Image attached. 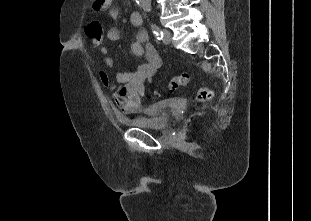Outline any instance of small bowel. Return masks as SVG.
Instances as JSON below:
<instances>
[{
    "mask_svg": "<svg viewBox=\"0 0 311 221\" xmlns=\"http://www.w3.org/2000/svg\"><path fill=\"white\" fill-rule=\"evenodd\" d=\"M109 14L111 18L116 19L120 15V9L117 6H112L109 8ZM131 23L135 26L141 25L142 15L139 12H133L131 14ZM119 37L120 32L116 27L109 29L107 33L108 40L117 41ZM131 50L135 56L145 59V62L138 64L135 70L117 72L115 76L116 83L111 81L105 71L100 72L101 83L109 89L113 103L124 114L140 112L145 84L153 78L161 64L157 50L149 41V36L145 31H139L136 34ZM100 52L104 56V65L107 68H113L114 60L109 56V48L102 46Z\"/></svg>",
    "mask_w": 311,
    "mask_h": 221,
    "instance_id": "obj_1",
    "label": "small bowel"
}]
</instances>
